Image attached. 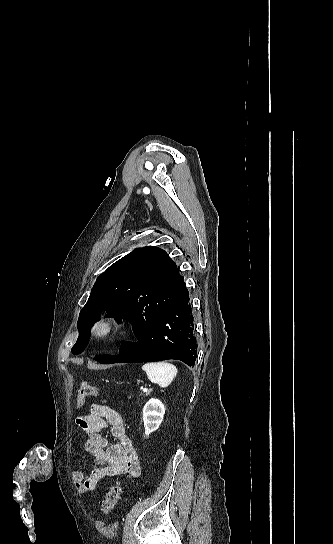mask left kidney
I'll list each match as a JSON object with an SVG mask.
<instances>
[{
  "label": "left kidney",
  "instance_id": "obj_1",
  "mask_svg": "<svg viewBox=\"0 0 333 544\" xmlns=\"http://www.w3.org/2000/svg\"><path fill=\"white\" fill-rule=\"evenodd\" d=\"M165 414L164 404L155 398H151L143 408V422L145 433L144 438H148L149 435L156 431L163 421Z\"/></svg>",
  "mask_w": 333,
  "mask_h": 544
}]
</instances>
